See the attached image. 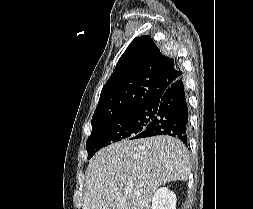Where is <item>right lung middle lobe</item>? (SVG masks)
Instances as JSON below:
<instances>
[{"instance_id":"1","label":"right lung middle lobe","mask_w":253,"mask_h":209,"mask_svg":"<svg viewBox=\"0 0 253 209\" xmlns=\"http://www.w3.org/2000/svg\"><path fill=\"white\" fill-rule=\"evenodd\" d=\"M155 117L149 105L134 107L119 115L92 120V132L86 142L88 159L104 146L123 140L136 139Z\"/></svg>"}]
</instances>
